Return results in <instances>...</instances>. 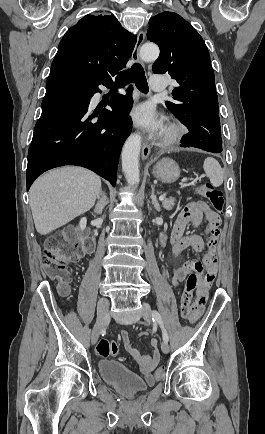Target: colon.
<instances>
[{
    "label": "colon",
    "instance_id": "obj_1",
    "mask_svg": "<svg viewBox=\"0 0 265 434\" xmlns=\"http://www.w3.org/2000/svg\"><path fill=\"white\" fill-rule=\"evenodd\" d=\"M199 192L209 201L214 211L221 213L224 210V198L222 193L212 184L204 183L201 185ZM79 259V251L72 242V236L69 234L64 238L61 234H56L47 241V248L42 261V272L47 278L54 279L57 283L58 290L62 296L69 292V285L72 280V274L68 269L69 264H74ZM197 273H189L185 281V290L181 297V317L185 321H193L190 317V302L194 295L193 289L198 286ZM96 353L103 359L110 356H116L119 353V346L111 340L101 339L96 346ZM163 369L158 368L155 371L156 376H161Z\"/></svg>",
    "mask_w": 265,
    "mask_h": 434
}]
</instances>
